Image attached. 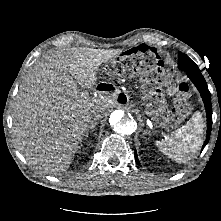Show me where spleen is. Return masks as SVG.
Wrapping results in <instances>:
<instances>
[{"instance_id":"1","label":"spleen","mask_w":221,"mask_h":221,"mask_svg":"<svg viewBox=\"0 0 221 221\" xmlns=\"http://www.w3.org/2000/svg\"><path fill=\"white\" fill-rule=\"evenodd\" d=\"M203 127L202 115L196 112L187 124L164 140L157 141L156 145L165 155L186 162L202 144Z\"/></svg>"}]
</instances>
